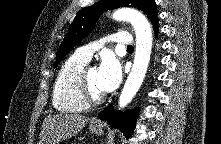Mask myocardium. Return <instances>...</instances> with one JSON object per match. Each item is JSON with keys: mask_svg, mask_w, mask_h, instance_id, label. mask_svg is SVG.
Segmentation results:
<instances>
[{"mask_svg": "<svg viewBox=\"0 0 221 144\" xmlns=\"http://www.w3.org/2000/svg\"><path fill=\"white\" fill-rule=\"evenodd\" d=\"M90 68L85 66L79 75L78 87L79 93L82 100L87 105H97L100 104L104 100L103 93H94L89 85L88 81V70Z\"/></svg>", "mask_w": 221, "mask_h": 144, "instance_id": "obj_1", "label": "myocardium"}]
</instances>
